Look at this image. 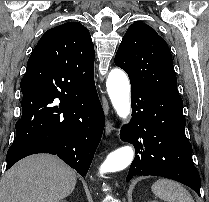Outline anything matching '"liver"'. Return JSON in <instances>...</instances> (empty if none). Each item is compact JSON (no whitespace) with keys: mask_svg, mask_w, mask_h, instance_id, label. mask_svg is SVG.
Masks as SVG:
<instances>
[{"mask_svg":"<svg viewBox=\"0 0 209 202\" xmlns=\"http://www.w3.org/2000/svg\"><path fill=\"white\" fill-rule=\"evenodd\" d=\"M76 182V172L58 157L33 155L5 173L0 202H59L72 193Z\"/></svg>","mask_w":209,"mask_h":202,"instance_id":"6515ba94","label":"liver"}]
</instances>
